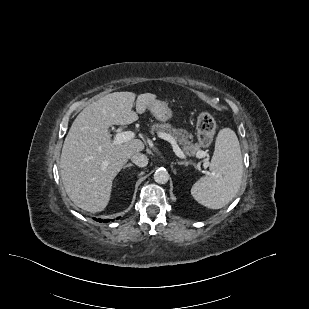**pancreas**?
Returning a JSON list of instances; mask_svg holds the SVG:
<instances>
[{"label":"pancreas","mask_w":309,"mask_h":309,"mask_svg":"<svg viewBox=\"0 0 309 309\" xmlns=\"http://www.w3.org/2000/svg\"><path fill=\"white\" fill-rule=\"evenodd\" d=\"M150 133H167L172 135L174 140L181 146L183 152L188 156H195L200 150L198 143H193L192 134L188 133L183 129L173 128L171 124L154 123L150 128Z\"/></svg>","instance_id":"1"}]
</instances>
